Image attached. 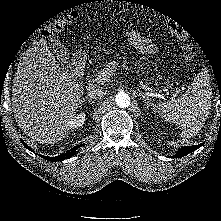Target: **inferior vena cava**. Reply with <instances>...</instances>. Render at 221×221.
Returning a JSON list of instances; mask_svg holds the SVG:
<instances>
[{
  "mask_svg": "<svg viewBox=\"0 0 221 221\" xmlns=\"http://www.w3.org/2000/svg\"><path fill=\"white\" fill-rule=\"evenodd\" d=\"M105 94L104 90L99 88L92 87L88 90V96L93 99H101Z\"/></svg>",
  "mask_w": 221,
  "mask_h": 221,
  "instance_id": "inferior-vena-cava-1",
  "label": "inferior vena cava"
}]
</instances>
